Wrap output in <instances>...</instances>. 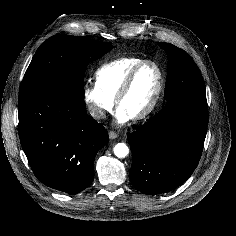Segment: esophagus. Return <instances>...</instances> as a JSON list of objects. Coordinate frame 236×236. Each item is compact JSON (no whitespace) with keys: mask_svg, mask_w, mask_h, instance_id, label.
Listing matches in <instances>:
<instances>
[{"mask_svg":"<svg viewBox=\"0 0 236 236\" xmlns=\"http://www.w3.org/2000/svg\"><path fill=\"white\" fill-rule=\"evenodd\" d=\"M118 137V134L114 131L109 132V138L110 139H116Z\"/></svg>","mask_w":236,"mask_h":236,"instance_id":"obj_1","label":"esophagus"}]
</instances>
